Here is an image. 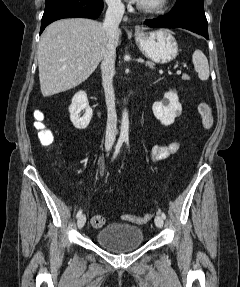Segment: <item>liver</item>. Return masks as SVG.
Instances as JSON below:
<instances>
[{
    "label": "liver",
    "instance_id": "liver-1",
    "mask_svg": "<svg viewBox=\"0 0 240 287\" xmlns=\"http://www.w3.org/2000/svg\"><path fill=\"white\" fill-rule=\"evenodd\" d=\"M118 29L115 47L120 44ZM107 45L103 24L91 19H62L41 35L37 58L42 95L70 90L95 71Z\"/></svg>",
    "mask_w": 240,
    "mask_h": 287
}]
</instances>
